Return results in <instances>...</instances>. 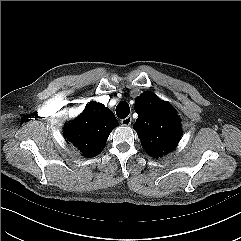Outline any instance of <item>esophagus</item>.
I'll list each match as a JSON object with an SVG mask.
<instances>
[{"mask_svg": "<svg viewBox=\"0 0 241 241\" xmlns=\"http://www.w3.org/2000/svg\"><path fill=\"white\" fill-rule=\"evenodd\" d=\"M132 122V117L131 116H128L124 119L121 120V124L124 125V126H129Z\"/></svg>", "mask_w": 241, "mask_h": 241, "instance_id": "1", "label": "esophagus"}]
</instances>
